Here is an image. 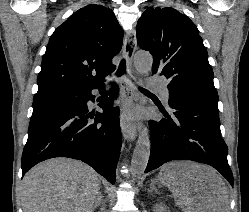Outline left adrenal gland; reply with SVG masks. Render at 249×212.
<instances>
[{
  "label": "left adrenal gland",
  "instance_id": "obj_1",
  "mask_svg": "<svg viewBox=\"0 0 249 212\" xmlns=\"http://www.w3.org/2000/svg\"><path fill=\"white\" fill-rule=\"evenodd\" d=\"M152 192H155V194H158V192L154 186V182H152V184L150 186V190H148V194H152Z\"/></svg>",
  "mask_w": 249,
  "mask_h": 212
}]
</instances>
